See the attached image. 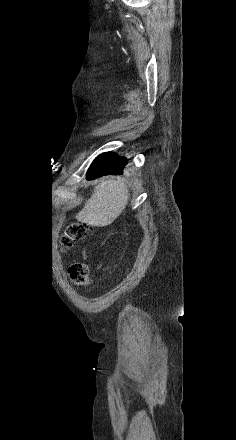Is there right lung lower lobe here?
<instances>
[{"instance_id": "98d812e1", "label": "right lung lower lobe", "mask_w": 236, "mask_h": 440, "mask_svg": "<svg viewBox=\"0 0 236 440\" xmlns=\"http://www.w3.org/2000/svg\"><path fill=\"white\" fill-rule=\"evenodd\" d=\"M127 164L125 157H118L113 153L107 152L99 155L91 164L87 171L88 179H95L103 175H120Z\"/></svg>"}]
</instances>
